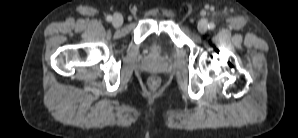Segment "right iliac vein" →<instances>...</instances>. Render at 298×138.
I'll return each mask as SVG.
<instances>
[{
    "instance_id": "right-iliac-vein-1",
    "label": "right iliac vein",
    "mask_w": 298,
    "mask_h": 138,
    "mask_svg": "<svg viewBox=\"0 0 298 138\" xmlns=\"http://www.w3.org/2000/svg\"><path fill=\"white\" fill-rule=\"evenodd\" d=\"M112 24L114 27H120L123 24V17L120 14H116L113 18Z\"/></svg>"
}]
</instances>
